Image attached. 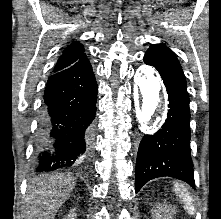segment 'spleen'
Listing matches in <instances>:
<instances>
[{
    "mask_svg": "<svg viewBox=\"0 0 221 219\" xmlns=\"http://www.w3.org/2000/svg\"><path fill=\"white\" fill-rule=\"evenodd\" d=\"M175 191L179 193L182 201L184 202V207L188 211L189 214H194L195 208L193 206V198L189 194L187 188L183 184L176 183L175 184Z\"/></svg>",
    "mask_w": 221,
    "mask_h": 219,
    "instance_id": "obj_1",
    "label": "spleen"
}]
</instances>
